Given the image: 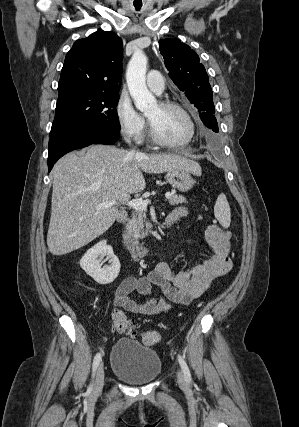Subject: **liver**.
<instances>
[{
	"label": "liver",
	"instance_id": "6515ba94",
	"mask_svg": "<svg viewBox=\"0 0 299 427\" xmlns=\"http://www.w3.org/2000/svg\"><path fill=\"white\" fill-rule=\"evenodd\" d=\"M173 169L201 175L197 162L176 154L135 153L101 144L66 154L51 171L49 251L64 255L102 235L115 222L118 205L145 189L142 171L158 174ZM106 201L117 204L100 208Z\"/></svg>",
	"mask_w": 299,
	"mask_h": 427
}]
</instances>
